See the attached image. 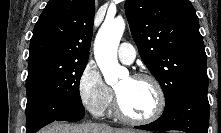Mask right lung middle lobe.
<instances>
[{
	"mask_svg": "<svg viewBox=\"0 0 221 133\" xmlns=\"http://www.w3.org/2000/svg\"><path fill=\"white\" fill-rule=\"evenodd\" d=\"M87 62L53 66L28 75L27 97L36 96L59 105L62 103L82 104L79 81Z\"/></svg>",
	"mask_w": 221,
	"mask_h": 133,
	"instance_id": "obj_1",
	"label": "right lung middle lobe"
}]
</instances>
